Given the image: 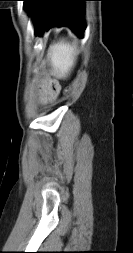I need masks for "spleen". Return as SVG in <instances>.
I'll return each mask as SVG.
<instances>
[{
    "label": "spleen",
    "mask_w": 133,
    "mask_h": 253,
    "mask_svg": "<svg viewBox=\"0 0 133 253\" xmlns=\"http://www.w3.org/2000/svg\"><path fill=\"white\" fill-rule=\"evenodd\" d=\"M48 57L52 74L57 78H65L74 66L76 47L64 40L58 41L50 46Z\"/></svg>",
    "instance_id": "obj_1"
}]
</instances>
